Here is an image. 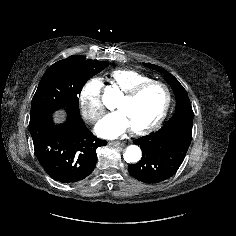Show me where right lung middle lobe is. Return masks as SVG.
Returning <instances> with one entry per match:
<instances>
[{
	"label": "right lung middle lobe",
	"mask_w": 236,
	"mask_h": 236,
	"mask_svg": "<svg viewBox=\"0 0 236 236\" xmlns=\"http://www.w3.org/2000/svg\"><path fill=\"white\" fill-rule=\"evenodd\" d=\"M108 64L96 60L67 58L51 65L33 96L30 117L66 110L68 116L81 117L79 94L83 85Z\"/></svg>",
	"instance_id": "1"
}]
</instances>
